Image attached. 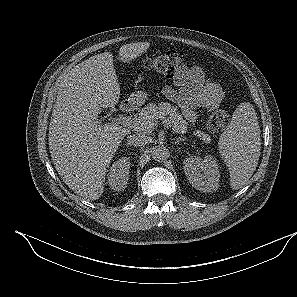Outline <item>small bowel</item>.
I'll use <instances>...</instances> for the list:
<instances>
[{
  "label": "small bowel",
  "mask_w": 297,
  "mask_h": 297,
  "mask_svg": "<svg viewBox=\"0 0 297 297\" xmlns=\"http://www.w3.org/2000/svg\"><path fill=\"white\" fill-rule=\"evenodd\" d=\"M162 93L180 108L190 124L197 120L200 110L211 111L226 102L222 87L207 78L199 65H183L175 74L172 85H166Z\"/></svg>",
  "instance_id": "1"
}]
</instances>
